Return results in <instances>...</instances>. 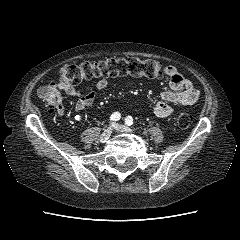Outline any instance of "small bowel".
Here are the masks:
<instances>
[{"label": "small bowel", "mask_w": 240, "mask_h": 240, "mask_svg": "<svg viewBox=\"0 0 240 240\" xmlns=\"http://www.w3.org/2000/svg\"><path fill=\"white\" fill-rule=\"evenodd\" d=\"M165 74L169 79L170 89L165 91L161 100L153 106V114L159 119L168 117L174 112L175 107L188 106L196 103L200 97V92L197 90L191 81L187 79L178 69L172 65L165 68ZM109 86V81L102 78L96 82L94 87L80 91L74 86L59 84L58 88L65 94L77 99L74 110L77 113L86 111L92 107L98 91H103ZM65 108L62 106L58 111L63 114Z\"/></svg>", "instance_id": "obj_1"}]
</instances>
